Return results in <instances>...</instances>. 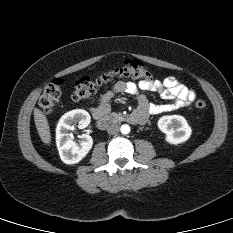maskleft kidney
<instances>
[{
  "instance_id": "1",
  "label": "left kidney",
  "mask_w": 233,
  "mask_h": 233,
  "mask_svg": "<svg viewBox=\"0 0 233 233\" xmlns=\"http://www.w3.org/2000/svg\"><path fill=\"white\" fill-rule=\"evenodd\" d=\"M158 128L166 134V141L174 145L187 141L192 133L186 119L180 115L162 116Z\"/></svg>"
}]
</instances>
